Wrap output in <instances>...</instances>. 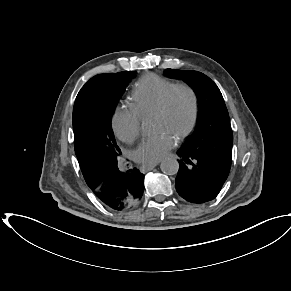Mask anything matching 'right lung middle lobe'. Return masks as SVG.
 Returning <instances> with one entry per match:
<instances>
[{"instance_id":"obj_1","label":"right lung middle lobe","mask_w":291,"mask_h":291,"mask_svg":"<svg viewBox=\"0 0 291 291\" xmlns=\"http://www.w3.org/2000/svg\"><path fill=\"white\" fill-rule=\"evenodd\" d=\"M135 71L98 74L79 91L73 108L74 147L79 163H116L121 150L115 142L111 118Z\"/></svg>"}]
</instances>
